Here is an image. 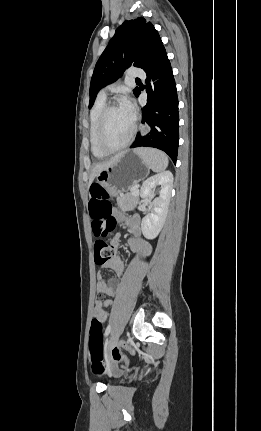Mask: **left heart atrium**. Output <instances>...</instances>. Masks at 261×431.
I'll return each instance as SVG.
<instances>
[{
	"instance_id": "39dd6f15",
	"label": "left heart atrium",
	"mask_w": 261,
	"mask_h": 431,
	"mask_svg": "<svg viewBox=\"0 0 261 431\" xmlns=\"http://www.w3.org/2000/svg\"><path fill=\"white\" fill-rule=\"evenodd\" d=\"M121 104L132 116H134L135 107L129 97H124Z\"/></svg>"
}]
</instances>
